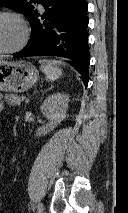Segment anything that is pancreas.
Instances as JSON below:
<instances>
[{
    "label": "pancreas",
    "mask_w": 128,
    "mask_h": 213,
    "mask_svg": "<svg viewBox=\"0 0 128 213\" xmlns=\"http://www.w3.org/2000/svg\"><path fill=\"white\" fill-rule=\"evenodd\" d=\"M4 99L10 106H17L23 100V98L15 94H10V95L6 94L4 96Z\"/></svg>",
    "instance_id": "obj_1"
}]
</instances>
